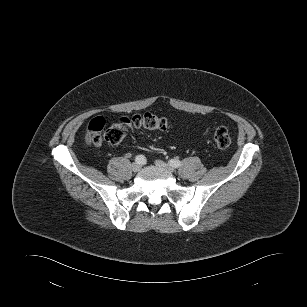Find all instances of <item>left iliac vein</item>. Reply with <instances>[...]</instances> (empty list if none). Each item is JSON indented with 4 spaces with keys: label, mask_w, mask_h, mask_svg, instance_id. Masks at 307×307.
Wrapping results in <instances>:
<instances>
[{
    "label": "left iliac vein",
    "mask_w": 307,
    "mask_h": 307,
    "mask_svg": "<svg viewBox=\"0 0 307 307\" xmlns=\"http://www.w3.org/2000/svg\"><path fill=\"white\" fill-rule=\"evenodd\" d=\"M156 166L163 168L165 170H167L168 172L172 173L174 171V169L167 163L161 161V160H156L155 161Z\"/></svg>",
    "instance_id": "left-iliac-vein-1"
}]
</instances>
